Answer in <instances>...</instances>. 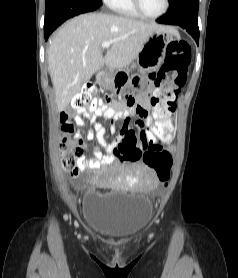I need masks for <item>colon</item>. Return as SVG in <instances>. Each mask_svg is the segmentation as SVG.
Returning <instances> with one entry per match:
<instances>
[{
    "instance_id": "5ec220e1",
    "label": "colon",
    "mask_w": 238,
    "mask_h": 278,
    "mask_svg": "<svg viewBox=\"0 0 238 278\" xmlns=\"http://www.w3.org/2000/svg\"><path fill=\"white\" fill-rule=\"evenodd\" d=\"M189 61L190 47L187 42L181 40L168 44L164 63L153 81L154 92L150 103L154 122L149 126L151 138H144L141 144L123 143L113 151L115 157L122 161H137L142 158L144 163L154 170L163 185H166L170 178L172 158L169 155L171 150L164 149L165 145L159 139L173 132L172 115L176 109V99L186 81ZM125 100L134 99L127 96ZM102 102V98L97 96L96 86L87 84L73 98L72 108L75 111L94 112L102 106ZM63 129L72 132L73 125L64 124ZM60 149L63 168L74 176L78 175L81 169L79 160L84 152L82 144L65 138Z\"/></svg>"
}]
</instances>
